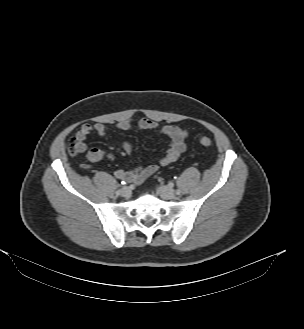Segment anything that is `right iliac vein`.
Returning <instances> with one entry per match:
<instances>
[{
  "mask_svg": "<svg viewBox=\"0 0 304 329\" xmlns=\"http://www.w3.org/2000/svg\"><path fill=\"white\" fill-rule=\"evenodd\" d=\"M120 195L123 196V197H129L131 195V191L128 187H123L121 189Z\"/></svg>",
  "mask_w": 304,
  "mask_h": 329,
  "instance_id": "right-iliac-vein-1",
  "label": "right iliac vein"
}]
</instances>
